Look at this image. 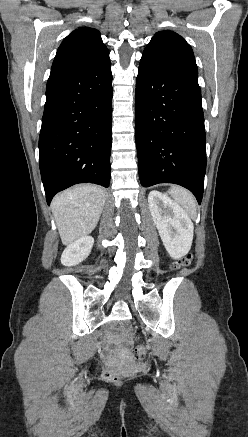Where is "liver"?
Wrapping results in <instances>:
<instances>
[{
    "instance_id": "6515ba94",
    "label": "liver",
    "mask_w": 248,
    "mask_h": 437,
    "mask_svg": "<svg viewBox=\"0 0 248 437\" xmlns=\"http://www.w3.org/2000/svg\"><path fill=\"white\" fill-rule=\"evenodd\" d=\"M105 199V190L92 184L75 186L54 197L52 212L64 245H70L94 230Z\"/></svg>"
}]
</instances>
